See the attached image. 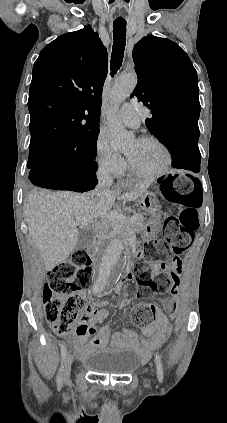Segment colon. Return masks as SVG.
Returning a JSON list of instances; mask_svg holds the SVG:
<instances>
[{"label":"colon","mask_w":227,"mask_h":423,"mask_svg":"<svg viewBox=\"0 0 227 423\" xmlns=\"http://www.w3.org/2000/svg\"><path fill=\"white\" fill-rule=\"evenodd\" d=\"M164 198L177 207V216H167L164 233L175 255L181 254L191 244L199 227L198 208L202 204L200 183L190 175H168L158 181ZM143 256L149 262L134 267L141 296L152 298L158 293L172 289L179 281L182 263L170 257L161 241H148ZM91 283L90 258L84 251H76L69 260L55 266L48 273L43 291L45 318L60 335H73L80 331L85 305L81 292ZM152 304L141 303L131 313V321L138 327L149 325L156 314Z\"/></svg>","instance_id":"5ec220e1"}]
</instances>
